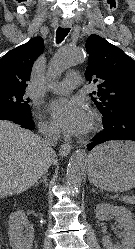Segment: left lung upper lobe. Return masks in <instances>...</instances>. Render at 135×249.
<instances>
[{"mask_svg": "<svg viewBox=\"0 0 135 249\" xmlns=\"http://www.w3.org/2000/svg\"><path fill=\"white\" fill-rule=\"evenodd\" d=\"M89 54L85 77L98 83L91 98L103 118L121 107H135V61L102 37L87 38Z\"/></svg>", "mask_w": 135, "mask_h": 249, "instance_id": "obj_1", "label": "left lung upper lobe"}]
</instances>
